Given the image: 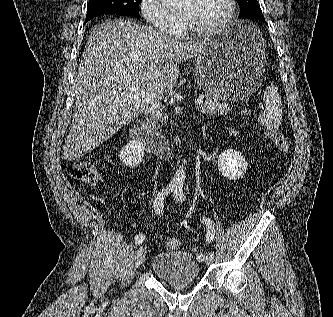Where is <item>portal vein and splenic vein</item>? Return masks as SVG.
Masks as SVG:
<instances>
[{"label":"portal vein and splenic vein","mask_w":333,"mask_h":317,"mask_svg":"<svg viewBox=\"0 0 333 317\" xmlns=\"http://www.w3.org/2000/svg\"><path fill=\"white\" fill-rule=\"evenodd\" d=\"M140 96H141V95H140V93L137 91L136 88H132V89H131V93H130V95H129L130 98H132V99H136V100H140ZM203 98H204V97L202 96V97L196 99V100H195V104H197V105H201V104L203 103ZM150 103H151V106L154 107V108H158V107L161 106L160 102H158V101H155V102L150 101ZM259 108H262V106H260Z\"/></svg>","instance_id":"18ae733b"}]
</instances>
